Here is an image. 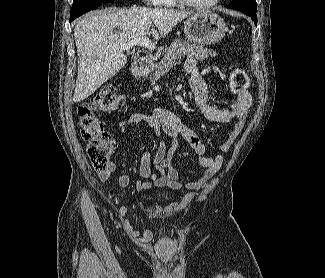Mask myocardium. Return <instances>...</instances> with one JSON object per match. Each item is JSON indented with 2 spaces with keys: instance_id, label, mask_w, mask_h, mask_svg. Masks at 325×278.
<instances>
[{
  "instance_id": "myocardium-1",
  "label": "myocardium",
  "mask_w": 325,
  "mask_h": 278,
  "mask_svg": "<svg viewBox=\"0 0 325 278\" xmlns=\"http://www.w3.org/2000/svg\"><path fill=\"white\" fill-rule=\"evenodd\" d=\"M181 5L194 9H209L219 3L220 0H211L207 3H196L192 0H177Z\"/></svg>"
}]
</instances>
